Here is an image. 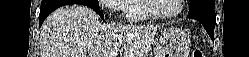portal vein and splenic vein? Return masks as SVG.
<instances>
[{"label":"portal vein and splenic vein","mask_w":249,"mask_h":57,"mask_svg":"<svg viewBox=\"0 0 249 57\" xmlns=\"http://www.w3.org/2000/svg\"><path fill=\"white\" fill-rule=\"evenodd\" d=\"M109 56H110V57H111V56H114V53H111Z\"/></svg>","instance_id":"18ae733b"}]
</instances>
